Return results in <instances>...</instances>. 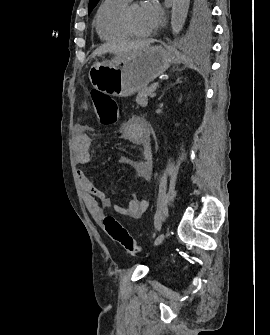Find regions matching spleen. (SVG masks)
Masks as SVG:
<instances>
[{"instance_id": "1", "label": "spleen", "mask_w": 270, "mask_h": 335, "mask_svg": "<svg viewBox=\"0 0 270 335\" xmlns=\"http://www.w3.org/2000/svg\"><path fill=\"white\" fill-rule=\"evenodd\" d=\"M184 62H188V58H185V56H182Z\"/></svg>"}]
</instances>
